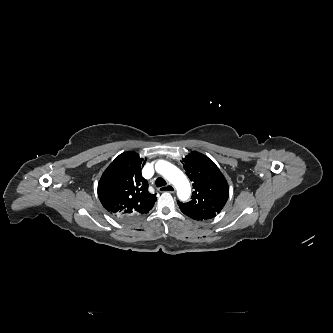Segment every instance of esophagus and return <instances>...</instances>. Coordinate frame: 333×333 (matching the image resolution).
I'll use <instances>...</instances> for the list:
<instances>
[{"mask_svg": "<svg viewBox=\"0 0 333 333\" xmlns=\"http://www.w3.org/2000/svg\"><path fill=\"white\" fill-rule=\"evenodd\" d=\"M161 190L168 191V192H174L175 187L169 183L165 187H162Z\"/></svg>", "mask_w": 333, "mask_h": 333, "instance_id": "1", "label": "esophagus"}]
</instances>
